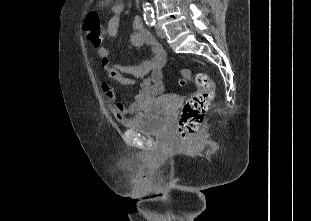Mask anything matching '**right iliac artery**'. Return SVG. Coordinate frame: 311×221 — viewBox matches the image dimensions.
I'll return each mask as SVG.
<instances>
[{"label":"right iliac artery","instance_id":"obj_1","mask_svg":"<svg viewBox=\"0 0 311 221\" xmlns=\"http://www.w3.org/2000/svg\"><path fill=\"white\" fill-rule=\"evenodd\" d=\"M146 24H147L149 27H153V26L155 25V20H152V19L147 20V21H146Z\"/></svg>","mask_w":311,"mask_h":221}]
</instances>
